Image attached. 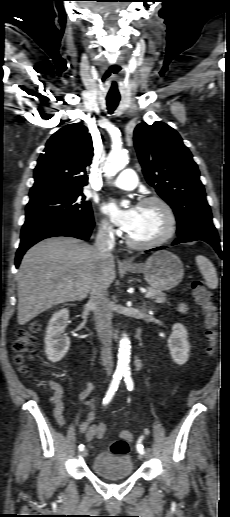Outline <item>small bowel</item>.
<instances>
[{
  "instance_id": "c3829d8e",
  "label": "small bowel",
  "mask_w": 230,
  "mask_h": 517,
  "mask_svg": "<svg viewBox=\"0 0 230 517\" xmlns=\"http://www.w3.org/2000/svg\"><path fill=\"white\" fill-rule=\"evenodd\" d=\"M179 310L182 312L188 311V306L185 303H181L178 306ZM57 389L56 392V404L54 409V416L59 425L64 426L67 424L66 419L64 418V405L61 401V389L58 385H55ZM95 386L92 382H88L87 386L84 390L79 394L80 401L91 409L94 408V404L89 400V395L93 392ZM95 419V412L91 411L86 419L77 425V429L80 433H82L86 439V441H92L94 438H102L106 432V426L104 423L93 424ZM120 437L132 439V434L128 431H122L120 433Z\"/></svg>"
}]
</instances>
